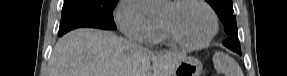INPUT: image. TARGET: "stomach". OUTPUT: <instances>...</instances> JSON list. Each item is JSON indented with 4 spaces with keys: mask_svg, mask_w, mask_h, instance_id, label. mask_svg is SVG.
Instances as JSON below:
<instances>
[{
    "mask_svg": "<svg viewBox=\"0 0 287 76\" xmlns=\"http://www.w3.org/2000/svg\"><path fill=\"white\" fill-rule=\"evenodd\" d=\"M202 67L196 58L185 57L176 65L172 76H200Z\"/></svg>",
    "mask_w": 287,
    "mask_h": 76,
    "instance_id": "stomach-1",
    "label": "stomach"
}]
</instances>
